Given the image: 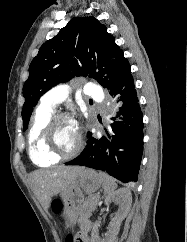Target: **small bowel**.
Here are the masks:
<instances>
[{
  "label": "small bowel",
  "mask_w": 187,
  "mask_h": 242,
  "mask_svg": "<svg viewBox=\"0 0 187 242\" xmlns=\"http://www.w3.org/2000/svg\"><path fill=\"white\" fill-rule=\"evenodd\" d=\"M92 228L89 220H82L80 222V229L76 235L78 242H89L88 234Z\"/></svg>",
  "instance_id": "1"
}]
</instances>
